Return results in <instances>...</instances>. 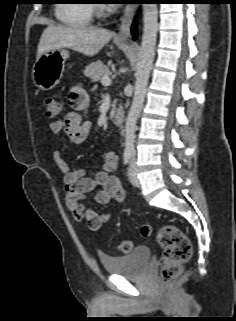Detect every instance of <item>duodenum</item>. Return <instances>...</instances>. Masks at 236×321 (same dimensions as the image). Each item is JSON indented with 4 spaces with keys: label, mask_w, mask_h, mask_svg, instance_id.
Segmentation results:
<instances>
[{
    "label": "duodenum",
    "mask_w": 236,
    "mask_h": 321,
    "mask_svg": "<svg viewBox=\"0 0 236 321\" xmlns=\"http://www.w3.org/2000/svg\"><path fill=\"white\" fill-rule=\"evenodd\" d=\"M111 120L116 125H122L124 122V114L121 111H115L111 114Z\"/></svg>",
    "instance_id": "1"
}]
</instances>
